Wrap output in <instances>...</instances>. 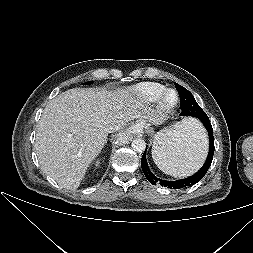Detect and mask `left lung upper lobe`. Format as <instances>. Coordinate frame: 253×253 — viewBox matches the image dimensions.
Returning a JSON list of instances; mask_svg holds the SVG:
<instances>
[{
	"label": "left lung upper lobe",
	"instance_id": "5c2ea615",
	"mask_svg": "<svg viewBox=\"0 0 253 253\" xmlns=\"http://www.w3.org/2000/svg\"><path fill=\"white\" fill-rule=\"evenodd\" d=\"M175 87L180 95V101H181V115L184 116H196V112H199L201 107L197 104L195 101L193 95L184 87L180 86L177 83H174Z\"/></svg>",
	"mask_w": 253,
	"mask_h": 253
}]
</instances>
